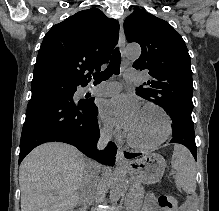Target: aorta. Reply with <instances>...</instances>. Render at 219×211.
Wrapping results in <instances>:
<instances>
[{"label": "aorta", "instance_id": "obj_1", "mask_svg": "<svg viewBox=\"0 0 219 211\" xmlns=\"http://www.w3.org/2000/svg\"><path fill=\"white\" fill-rule=\"evenodd\" d=\"M141 49L138 45H128L126 47V55L131 59H137L140 56ZM128 181L125 175H118L113 180L110 187V200L117 202L126 192Z\"/></svg>", "mask_w": 219, "mask_h": 211}]
</instances>
